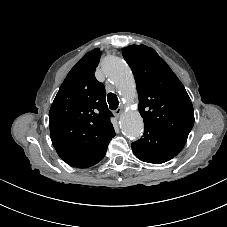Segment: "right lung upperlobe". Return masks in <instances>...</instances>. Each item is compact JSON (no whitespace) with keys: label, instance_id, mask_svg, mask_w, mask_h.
Here are the masks:
<instances>
[{"label":"right lung upper lobe","instance_id":"obj_1","mask_svg":"<svg viewBox=\"0 0 227 227\" xmlns=\"http://www.w3.org/2000/svg\"><path fill=\"white\" fill-rule=\"evenodd\" d=\"M101 52H88L70 70L49 112L50 137L59 157L72 167L102 157L115 136L104 85L94 73Z\"/></svg>","mask_w":227,"mask_h":227}]
</instances>
